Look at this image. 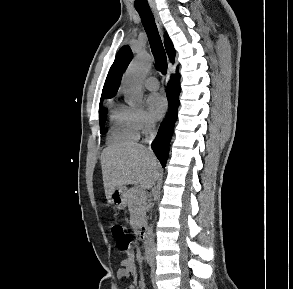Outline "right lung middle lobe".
<instances>
[{
    "label": "right lung middle lobe",
    "mask_w": 293,
    "mask_h": 289,
    "mask_svg": "<svg viewBox=\"0 0 293 289\" xmlns=\"http://www.w3.org/2000/svg\"><path fill=\"white\" fill-rule=\"evenodd\" d=\"M101 104H102V100H101ZM101 107V105H100ZM107 118V110H103L101 111V109L99 110V121H100V132L103 133L104 132V124Z\"/></svg>",
    "instance_id": "right-lung-middle-lobe-1"
}]
</instances>
